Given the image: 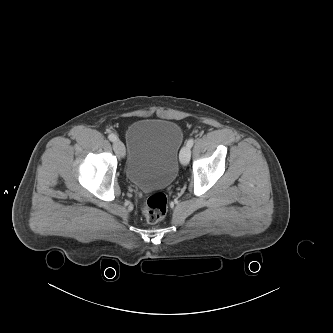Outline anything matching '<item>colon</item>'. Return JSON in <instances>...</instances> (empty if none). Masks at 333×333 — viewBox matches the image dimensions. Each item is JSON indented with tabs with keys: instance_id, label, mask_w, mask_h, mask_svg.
I'll return each mask as SVG.
<instances>
[{
	"instance_id": "5ec220e1",
	"label": "colon",
	"mask_w": 333,
	"mask_h": 333,
	"mask_svg": "<svg viewBox=\"0 0 333 333\" xmlns=\"http://www.w3.org/2000/svg\"><path fill=\"white\" fill-rule=\"evenodd\" d=\"M168 210V200L164 193H155L151 195L143 209V215L149 223H157L161 221Z\"/></svg>"
}]
</instances>
